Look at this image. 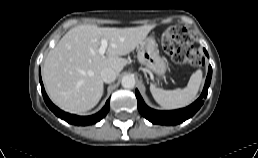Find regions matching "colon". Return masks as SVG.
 I'll return each instance as SVG.
<instances>
[{"instance_id": "obj_1", "label": "colon", "mask_w": 258, "mask_h": 158, "mask_svg": "<svg viewBox=\"0 0 258 158\" xmlns=\"http://www.w3.org/2000/svg\"><path fill=\"white\" fill-rule=\"evenodd\" d=\"M192 36L190 32L181 25L168 28L162 35L161 47L175 63L187 64L198 67L202 64V58L190 45Z\"/></svg>"}]
</instances>
